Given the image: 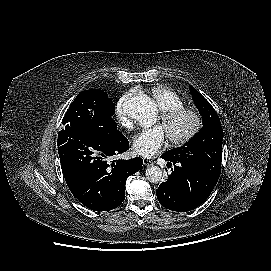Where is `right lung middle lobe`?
I'll return each instance as SVG.
<instances>
[{
	"instance_id": "dd1d6c3e",
	"label": "right lung middle lobe",
	"mask_w": 271,
	"mask_h": 271,
	"mask_svg": "<svg viewBox=\"0 0 271 271\" xmlns=\"http://www.w3.org/2000/svg\"><path fill=\"white\" fill-rule=\"evenodd\" d=\"M115 107L107 93L99 89L80 92L67 110L62 124L80 126L93 133L114 134L117 125L112 119Z\"/></svg>"
}]
</instances>
